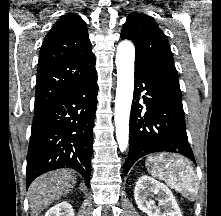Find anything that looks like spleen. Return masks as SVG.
<instances>
[{
  "mask_svg": "<svg viewBox=\"0 0 221 216\" xmlns=\"http://www.w3.org/2000/svg\"><path fill=\"white\" fill-rule=\"evenodd\" d=\"M148 172L155 178L165 181L167 185L185 197H195L198 193L197 177L187 159L180 155L160 154L146 159Z\"/></svg>",
  "mask_w": 221,
  "mask_h": 216,
  "instance_id": "spleen-1",
  "label": "spleen"
}]
</instances>
